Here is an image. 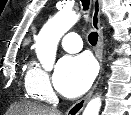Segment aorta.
<instances>
[{
  "label": "aorta",
  "instance_id": "obj_1",
  "mask_svg": "<svg viewBox=\"0 0 131 115\" xmlns=\"http://www.w3.org/2000/svg\"><path fill=\"white\" fill-rule=\"evenodd\" d=\"M74 11H60L51 18L39 32L35 50L37 57L46 71L53 69L57 45L60 38L79 20ZM101 97L92 98L83 111V115H99Z\"/></svg>",
  "mask_w": 131,
  "mask_h": 115
}]
</instances>
